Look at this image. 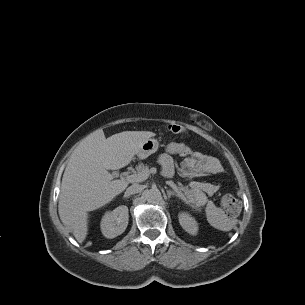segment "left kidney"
Segmentation results:
<instances>
[{"label": "left kidney", "instance_id": "left-kidney-1", "mask_svg": "<svg viewBox=\"0 0 305 305\" xmlns=\"http://www.w3.org/2000/svg\"><path fill=\"white\" fill-rule=\"evenodd\" d=\"M179 223L182 228L190 235H196L198 232V223L187 213L179 214Z\"/></svg>", "mask_w": 305, "mask_h": 305}]
</instances>
